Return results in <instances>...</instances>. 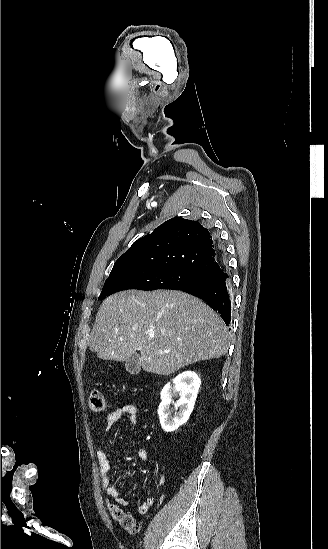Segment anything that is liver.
<instances>
[{
    "mask_svg": "<svg viewBox=\"0 0 328 549\" xmlns=\"http://www.w3.org/2000/svg\"><path fill=\"white\" fill-rule=\"evenodd\" d=\"M221 317L182 291H120L103 301L90 351L104 361H127L136 351L147 373L171 375L197 361L218 359L229 349Z\"/></svg>",
    "mask_w": 328,
    "mask_h": 549,
    "instance_id": "obj_1",
    "label": "liver"
}]
</instances>
